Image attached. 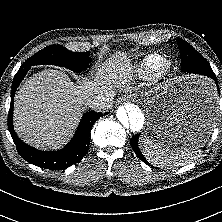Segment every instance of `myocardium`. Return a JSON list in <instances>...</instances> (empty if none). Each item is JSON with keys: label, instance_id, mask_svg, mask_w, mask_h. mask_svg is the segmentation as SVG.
Wrapping results in <instances>:
<instances>
[{"label": "myocardium", "instance_id": "myocardium-1", "mask_svg": "<svg viewBox=\"0 0 222 222\" xmlns=\"http://www.w3.org/2000/svg\"><path fill=\"white\" fill-rule=\"evenodd\" d=\"M174 68V63L171 59L165 58L157 67L156 74L159 77H167L171 74Z\"/></svg>", "mask_w": 222, "mask_h": 222}]
</instances>
